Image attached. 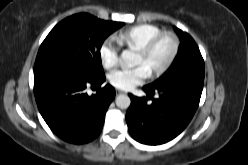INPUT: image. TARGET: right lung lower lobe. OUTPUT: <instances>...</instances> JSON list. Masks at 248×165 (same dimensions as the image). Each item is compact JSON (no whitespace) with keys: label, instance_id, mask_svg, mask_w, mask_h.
<instances>
[{"label":"right lung lower lobe","instance_id":"1","mask_svg":"<svg viewBox=\"0 0 248 165\" xmlns=\"http://www.w3.org/2000/svg\"><path fill=\"white\" fill-rule=\"evenodd\" d=\"M105 75L85 76L73 66H55L34 73V94L38 109L50 129L61 139L83 144L101 132L106 111L115 97V89ZM88 84L97 88L91 96L85 93Z\"/></svg>","mask_w":248,"mask_h":165}]
</instances>
